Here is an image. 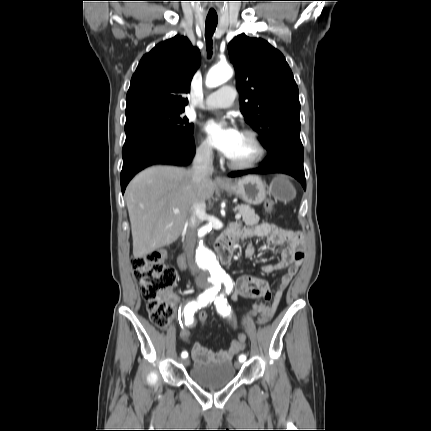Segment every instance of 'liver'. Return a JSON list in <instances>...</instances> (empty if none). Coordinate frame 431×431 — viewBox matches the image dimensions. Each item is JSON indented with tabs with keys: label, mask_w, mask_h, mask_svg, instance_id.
<instances>
[{
	"label": "liver",
	"mask_w": 431,
	"mask_h": 431,
	"mask_svg": "<svg viewBox=\"0 0 431 431\" xmlns=\"http://www.w3.org/2000/svg\"><path fill=\"white\" fill-rule=\"evenodd\" d=\"M214 190L210 178L197 185L190 170L173 166H153L134 177L125 191L134 257L175 242L192 214L193 204L211 199Z\"/></svg>",
	"instance_id": "1"
}]
</instances>
